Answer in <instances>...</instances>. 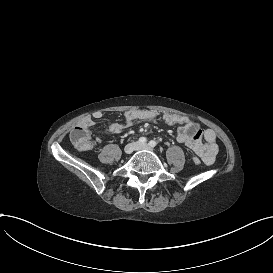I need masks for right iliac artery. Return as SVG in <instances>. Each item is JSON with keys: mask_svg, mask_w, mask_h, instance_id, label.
<instances>
[{"mask_svg": "<svg viewBox=\"0 0 273 273\" xmlns=\"http://www.w3.org/2000/svg\"><path fill=\"white\" fill-rule=\"evenodd\" d=\"M138 142H139L140 144H144V143L147 142V139H146L145 137H141V138H139Z\"/></svg>", "mask_w": 273, "mask_h": 273, "instance_id": "right-iliac-artery-1", "label": "right iliac artery"}]
</instances>
